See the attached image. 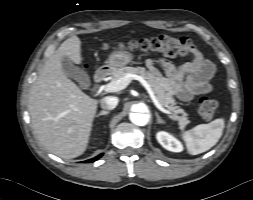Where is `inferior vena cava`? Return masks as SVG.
Wrapping results in <instances>:
<instances>
[{"label": "inferior vena cava", "mask_w": 253, "mask_h": 200, "mask_svg": "<svg viewBox=\"0 0 253 200\" xmlns=\"http://www.w3.org/2000/svg\"><path fill=\"white\" fill-rule=\"evenodd\" d=\"M118 98L114 96H107L101 99V107L106 110L114 109L118 104Z\"/></svg>", "instance_id": "obj_1"}]
</instances>
